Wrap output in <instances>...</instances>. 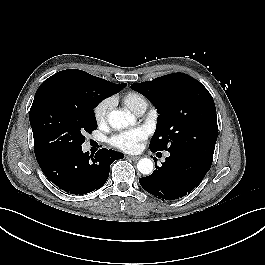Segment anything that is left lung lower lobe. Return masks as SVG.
I'll return each instance as SVG.
<instances>
[{
  "label": "left lung lower lobe",
  "mask_w": 265,
  "mask_h": 265,
  "mask_svg": "<svg viewBox=\"0 0 265 265\" xmlns=\"http://www.w3.org/2000/svg\"><path fill=\"white\" fill-rule=\"evenodd\" d=\"M211 164L190 154H170L162 167L156 166L151 175L139 182L144 190L161 200L178 199L198 186Z\"/></svg>",
  "instance_id": "0a47b994"
}]
</instances>
